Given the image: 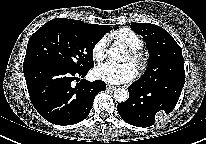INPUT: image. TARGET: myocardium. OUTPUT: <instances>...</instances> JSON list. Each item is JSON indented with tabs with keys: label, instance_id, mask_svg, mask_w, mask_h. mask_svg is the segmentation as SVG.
<instances>
[{
	"label": "myocardium",
	"instance_id": "1",
	"mask_svg": "<svg viewBox=\"0 0 206 144\" xmlns=\"http://www.w3.org/2000/svg\"><path fill=\"white\" fill-rule=\"evenodd\" d=\"M130 60L133 62L134 66L136 67L139 73H143L145 71L148 59L143 52L131 50Z\"/></svg>",
	"mask_w": 206,
	"mask_h": 144
}]
</instances>
